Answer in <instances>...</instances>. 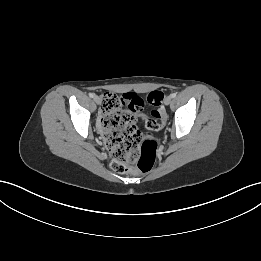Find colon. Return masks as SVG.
Here are the masks:
<instances>
[{"instance_id": "obj_1", "label": "colon", "mask_w": 261, "mask_h": 261, "mask_svg": "<svg viewBox=\"0 0 261 261\" xmlns=\"http://www.w3.org/2000/svg\"><path fill=\"white\" fill-rule=\"evenodd\" d=\"M161 91H151L145 97L136 94H128L126 103L128 111L122 109L123 102L113 93L102 95V133L106 146L110 153L111 168L117 173H125L129 170L140 172L149 171L155 162L157 142L151 131H161L168 124L165 110L158 108L153 110L151 117L148 113L141 115V121L146 123L148 134L142 139L140 132L132 123L129 111L139 115L146 103L159 106L163 101Z\"/></svg>"}]
</instances>
